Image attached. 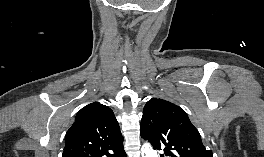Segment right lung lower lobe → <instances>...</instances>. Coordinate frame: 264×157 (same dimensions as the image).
<instances>
[{
	"label": "right lung lower lobe",
	"mask_w": 264,
	"mask_h": 157,
	"mask_svg": "<svg viewBox=\"0 0 264 157\" xmlns=\"http://www.w3.org/2000/svg\"><path fill=\"white\" fill-rule=\"evenodd\" d=\"M106 157H126L123 147L114 152V154H109Z\"/></svg>",
	"instance_id": "right-lung-lower-lobe-1"
}]
</instances>
